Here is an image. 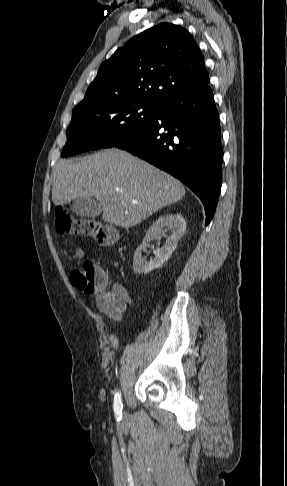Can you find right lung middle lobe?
Masks as SVG:
<instances>
[{
    "label": "right lung middle lobe",
    "mask_w": 287,
    "mask_h": 486,
    "mask_svg": "<svg viewBox=\"0 0 287 486\" xmlns=\"http://www.w3.org/2000/svg\"><path fill=\"white\" fill-rule=\"evenodd\" d=\"M149 100H115L72 112L62 157L114 147L139 134L158 114Z\"/></svg>",
    "instance_id": "obj_1"
}]
</instances>
